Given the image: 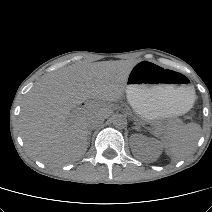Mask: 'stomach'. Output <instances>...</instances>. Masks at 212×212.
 I'll use <instances>...</instances> for the list:
<instances>
[{"label":"stomach","mask_w":212,"mask_h":212,"mask_svg":"<svg viewBox=\"0 0 212 212\" xmlns=\"http://www.w3.org/2000/svg\"><path fill=\"white\" fill-rule=\"evenodd\" d=\"M126 94L134 111L148 122L183 114L195 99L194 89L183 75L148 61L132 67Z\"/></svg>","instance_id":"stomach-1"}]
</instances>
